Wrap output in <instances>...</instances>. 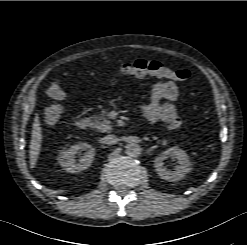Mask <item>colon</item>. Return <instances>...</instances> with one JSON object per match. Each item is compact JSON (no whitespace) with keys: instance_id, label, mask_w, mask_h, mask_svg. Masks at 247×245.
<instances>
[{"instance_id":"obj_1","label":"colon","mask_w":247,"mask_h":245,"mask_svg":"<svg viewBox=\"0 0 247 245\" xmlns=\"http://www.w3.org/2000/svg\"><path fill=\"white\" fill-rule=\"evenodd\" d=\"M120 73L125 77L152 75L177 81H186L190 77V72L187 69L174 70L155 59H139L132 63L123 64L120 67ZM47 92L56 101H62L65 98L63 88L56 82L49 85ZM62 113L63 106L61 103L51 104L44 110V119L48 124H55L60 120ZM181 125L182 121L178 117L168 123V127L172 130L179 129Z\"/></svg>"}]
</instances>
